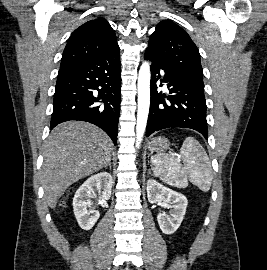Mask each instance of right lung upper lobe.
Returning <instances> with one entry per match:
<instances>
[{
  "label": "right lung upper lobe",
  "instance_id": "1",
  "mask_svg": "<svg viewBox=\"0 0 267 270\" xmlns=\"http://www.w3.org/2000/svg\"><path fill=\"white\" fill-rule=\"evenodd\" d=\"M119 51L115 32L102 17L78 27L69 38L63 51L61 67L79 64Z\"/></svg>",
  "mask_w": 267,
  "mask_h": 270
}]
</instances>
